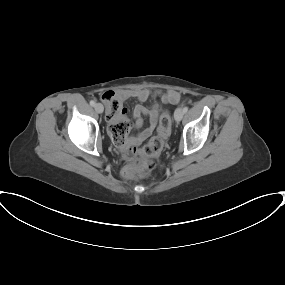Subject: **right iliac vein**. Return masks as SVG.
Wrapping results in <instances>:
<instances>
[{
	"label": "right iliac vein",
	"instance_id": "obj_1",
	"mask_svg": "<svg viewBox=\"0 0 285 285\" xmlns=\"http://www.w3.org/2000/svg\"><path fill=\"white\" fill-rule=\"evenodd\" d=\"M94 108H95V111H96L97 113H102L103 110H104L103 105L100 104V103L95 104Z\"/></svg>",
	"mask_w": 285,
	"mask_h": 285
}]
</instances>
